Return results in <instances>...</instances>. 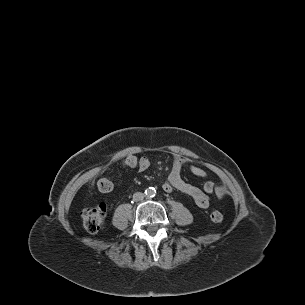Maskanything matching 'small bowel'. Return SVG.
Returning a JSON list of instances; mask_svg holds the SVG:
<instances>
[{
    "label": "small bowel",
    "mask_w": 305,
    "mask_h": 305,
    "mask_svg": "<svg viewBox=\"0 0 305 305\" xmlns=\"http://www.w3.org/2000/svg\"><path fill=\"white\" fill-rule=\"evenodd\" d=\"M171 155L173 158L172 168L167 179L163 183V189L166 192H172L174 189L183 192L189 195L200 208H207L209 206V195L212 193H215L218 198H223L225 196L226 192L224 188L216 185L212 181H207L204 184L203 189H200L199 187L186 182L182 178V169L187 160L184 159L177 151H172ZM149 167L150 160L146 157L140 158L138 170L143 172ZM190 170L194 175L198 177L206 176V171L199 164H191Z\"/></svg>",
    "instance_id": "c3829d8e"
}]
</instances>
